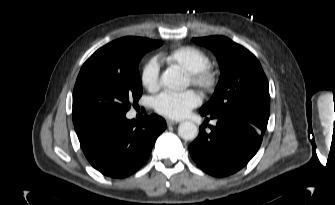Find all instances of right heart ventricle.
I'll return each instance as SVG.
<instances>
[{
    "label": "right heart ventricle",
    "mask_w": 335,
    "mask_h": 205,
    "mask_svg": "<svg viewBox=\"0 0 335 205\" xmlns=\"http://www.w3.org/2000/svg\"><path fill=\"white\" fill-rule=\"evenodd\" d=\"M166 60L171 64L179 65L189 73L195 72L210 63L207 53L195 46L177 48L166 56Z\"/></svg>",
    "instance_id": "right-heart-ventricle-1"
}]
</instances>
